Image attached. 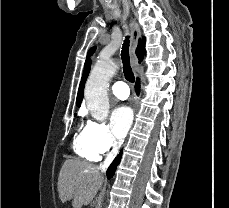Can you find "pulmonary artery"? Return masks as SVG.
Returning a JSON list of instances; mask_svg holds the SVG:
<instances>
[{
    "mask_svg": "<svg viewBox=\"0 0 229 208\" xmlns=\"http://www.w3.org/2000/svg\"><path fill=\"white\" fill-rule=\"evenodd\" d=\"M111 91H112L113 95H115V97H117L119 99H126V98H128V96L130 94V90H129L127 84L123 81H116L112 85Z\"/></svg>",
    "mask_w": 229,
    "mask_h": 208,
    "instance_id": "1",
    "label": "pulmonary artery"
}]
</instances>
